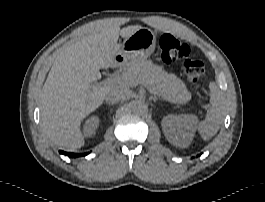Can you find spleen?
<instances>
[{"mask_svg":"<svg viewBox=\"0 0 265 202\" xmlns=\"http://www.w3.org/2000/svg\"><path fill=\"white\" fill-rule=\"evenodd\" d=\"M210 108L207 111L205 120L198 123L196 128L204 140L214 136L224 119L223 96L214 82L210 83Z\"/></svg>","mask_w":265,"mask_h":202,"instance_id":"obj_1","label":"spleen"}]
</instances>
